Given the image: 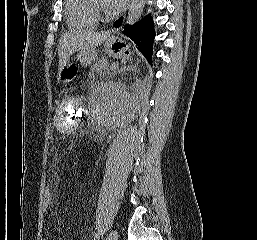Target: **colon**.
Masks as SVG:
<instances>
[{
	"label": "colon",
	"mask_w": 257,
	"mask_h": 240,
	"mask_svg": "<svg viewBox=\"0 0 257 240\" xmlns=\"http://www.w3.org/2000/svg\"><path fill=\"white\" fill-rule=\"evenodd\" d=\"M78 74L77 66L74 64H68L66 65L61 73V80L66 84H72L75 82ZM53 203V195L52 191L49 185L46 186L45 192H44V211L47 213L52 206Z\"/></svg>",
	"instance_id": "obj_1"
}]
</instances>
